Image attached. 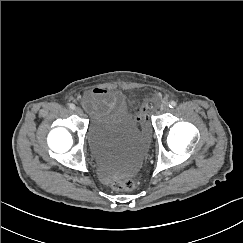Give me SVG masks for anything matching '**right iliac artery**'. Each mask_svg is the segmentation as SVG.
Here are the masks:
<instances>
[{"label":"right iliac artery","mask_w":243,"mask_h":243,"mask_svg":"<svg viewBox=\"0 0 243 243\" xmlns=\"http://www.w3.org/2000/svg\"><path fill=\"white\" fill-rule=\"evenodd\" d=\"M69 108L74 110L75 109V105L71 103V104H69Z\"/></svg>","instance_id":"1"}]
</instances>
